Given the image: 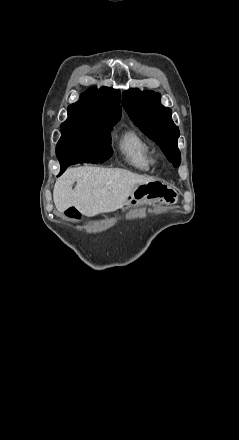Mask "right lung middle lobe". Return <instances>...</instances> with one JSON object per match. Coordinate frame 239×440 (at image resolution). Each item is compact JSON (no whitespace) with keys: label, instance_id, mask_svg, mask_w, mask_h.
I'll use <instances>...</instances> for the list:
<instances>
[{"label":"right lung middle lobe","instance_id":"obj_1","mask_svg":"<svg viewBox=\"0 0 239 440\" xmlns=\"http://www.w3.org/2000/svg\"><path fill=\"white\" fill-rule=\"evenodd\" d=\"M116 123L104 119L68 115V119L61 124L62 136L57 144L56 153L67 148L82 146L111 148L110 130Z\"/></svg>","mask_w":239,"mask_h":440}]
</instances>
